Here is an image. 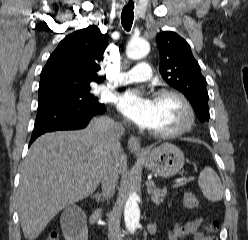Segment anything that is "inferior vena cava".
<instances>
[{"label": "inferior vena cava", "instance_id": "obj_1", "mask_svg": "<svg viewBox=\"0 0 248 240\" xmlns=\"http://www.w3.org/2000/svg\"><path fill=\"white\" fill-rule=\"evenodd\" d=\"M124 134V127L121 123L110 122L106 127L107 153L104 160V170L102 176L103 197L108 199L115 193L118 181V169L114 160V153L120 149V138Z\"/></svg>", "mask_w": 248, "mask_h": 240}]
</instances>
